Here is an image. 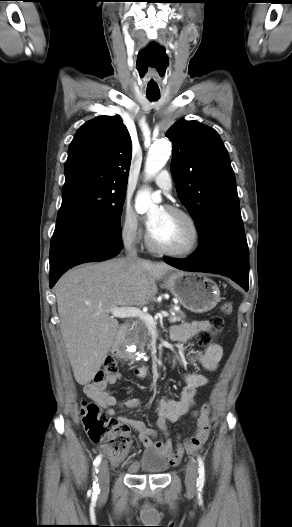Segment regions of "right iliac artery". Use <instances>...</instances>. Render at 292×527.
Wrapping results in <instances>:
<instances>
[{
	"label": "right iliac artery",
	"instance_id": "obj_1",
	"mask_svg": "<svg viewBox=\"0 0 292 527\" xmlns=\"http://www.w3.org/2000/svg\"><path fill=\"white\" fill-rule=\"evenodd\" d=\"M101 459H102L101 455H98V456L95 458L94 462H93V465H94V471H95L96 473H97V471H98L97 468H98V466H99L100 463H101ZM93 491H94V493H97V494L100 492L99 484H98L96 478H95V480H94V482H93Z\"/></svg>",
	"mask_w": 292,
	"mask_h": 527
}]
</instances>
